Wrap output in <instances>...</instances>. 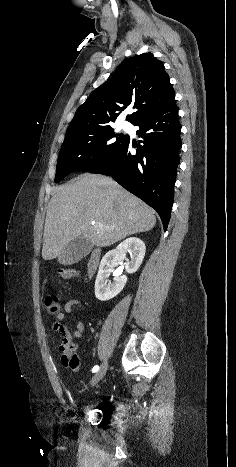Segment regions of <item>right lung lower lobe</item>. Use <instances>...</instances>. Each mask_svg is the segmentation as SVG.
Returning <instances> with one entry per match:
<instances>
[{
    "label": "right lung lower lobe",
    "instance_id": "98d812e1",
    "mask_svg": "<svg viewBox=\"0 0 236 467\" xmlns=\"http://www.w3.org/2000/svg\"><path fill=\"white\" fill-rule=\"evenodd\" d=\"M134 125L140 127L138 134L143 138L136 154L130 153L132 144L128 138L113 157L88 172L112 176L158 212L166 231L182 146L175 99Z\"/></svg>",
    "mask_w": 236,
    "mask_h": 467
}]
</instances>
